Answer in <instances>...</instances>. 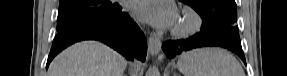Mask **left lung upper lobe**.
<instances>
[{"instance_id":"5c2ea615","label":"left lung upper lobe","mask_w":287,"mask_h":76,"mask_svg":"<svg viewBox=\"0 0 287 76\" xmlns=\"http://www.w3.org/2000/svg\"><path fill=\"white\" fill-rule=\"evenodd\" d=\"M199 13L203 25L212 31L239 38L236 26L237 6L235 0H179Z\"/></svg>"}]
</instances>
